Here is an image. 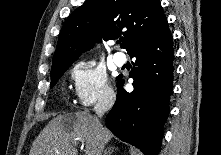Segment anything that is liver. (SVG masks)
Here are the masks:
<instances>
[{
    "instance_id": "6515ba94",
    "label": "liver",
    "mask_w": 221,
    "mask_h": 155,
    "mask_svg": "<svg viewBox=\"0 0 221 155\" xmlns=\"http://www.w3.org/2000/svg\"><path fill=\"white\" fill-rule=\"evenodd\" d=\"M113 134L85 111L53 118L34 140L29 155H78L79 142L85 155H100Z\"/></svg>"
}]
</instances>
